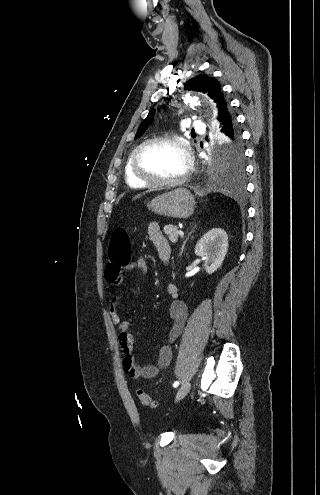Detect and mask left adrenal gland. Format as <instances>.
<instances>
[{"instance_id":"left-adrenal-gland-1","label":"left adrenal gland","mask_w":320,"mask_h":495,"mask_svg":"<svg viewBox=\"0 0 320 495\" xmlns=\"http://www.w3.org/2000/svg\"><path fill=\"white\" fill-rule=\"evenodd\" d=\"M196 228V226L193 228V230L188 234L187 238L185 239V241L183 242V245L181 247V251H180V255H182L183 253V250H184V247H185V244L186 242L189 240L190 236L192 235V233L194 232V229Z\"/></svg>"}]
</instances>
